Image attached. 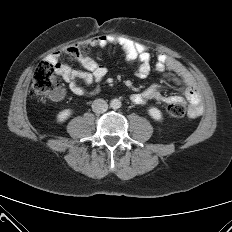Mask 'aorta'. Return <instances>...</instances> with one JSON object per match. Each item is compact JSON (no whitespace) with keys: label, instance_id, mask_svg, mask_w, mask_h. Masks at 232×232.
<instances>
[{"label":"aorta","instance_id":"1","mask_svg":"<svg viewBox=\"0 0 232 232\" xmlns=\"http://www.w3.org/2000/svg\"><path fill=\"white\" fill-rule=\"evenodd\" d=\"M110 107L113 109H118L121 107V101L119 99H112L110 102Z\"/></svg>","mask_w":232,"mask_h":232}]
</instances>
